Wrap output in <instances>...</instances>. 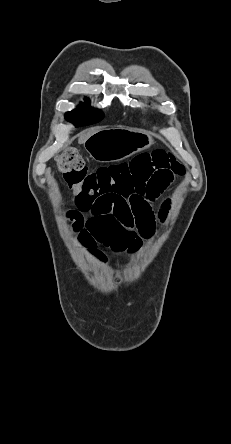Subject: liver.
Wrapping results in <instances>:
<instances>
[{
	"instance_id": "1",
	"label": "liver",
	"mask_w": 231,
	"mask_h": 444,
	"mask_svg": "<svg viewBox=\"0 0 231 444\" xmlns=\"http://www.w3.org/2000/svg\"><path fill=\"white\" fill-rule=\"evenodd\" d=\"M99 130H100L99 128H92V129H89V130H86V131L82 132V133L79 135V140H78V142H79L80 144H84L85 141H86L90 136H92L93 134H95V133L98 132Z\"/></svg>"
}]
</instances>
